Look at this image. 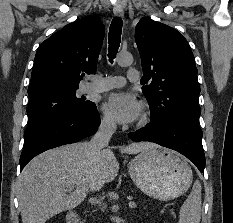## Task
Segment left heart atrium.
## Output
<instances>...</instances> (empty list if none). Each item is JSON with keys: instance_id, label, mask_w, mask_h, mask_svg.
<instances>
[{"instance_id": "left-heart-atrium-1", "label": "left heart atrium", "mask_w": 233, "mask_h": 223, "mask_svg": "<svg viewBox=\"0 0 233 223\" xmlns=\"http://www.w3.org/2000/svg\"><path fill=\"white\" fill-rule=\"evenodd\" d=\"M106 114L121 124L136 122L142 111L140 101L132 95H118L111 97L105 104Z\"/></svg>"}]
</instances>
